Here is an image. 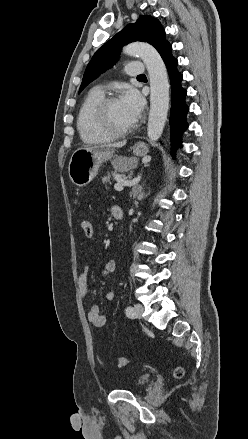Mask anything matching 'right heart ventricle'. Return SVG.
I'll return each mask as SVG.
<instances>
[{"instance_id":"right-heart-ventricle-1","label":"right heart ventricle","mask_w":248,"mask_h":439,"mask_svg":"<svg viewBox=\"0 0 248 439\" xmlns=\"http://www.w3.org/2000/svg\"><path fill=\"white\" fill-rule=\"evenodd\" d=\"M104 98V93L94 88L84 98L77 115V129L82 141L87 145L111 142L115 136L103 131L94 120V110Z\"/></svg>"}]
</instances>
